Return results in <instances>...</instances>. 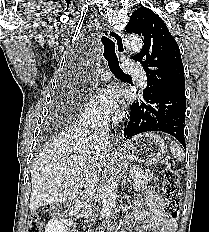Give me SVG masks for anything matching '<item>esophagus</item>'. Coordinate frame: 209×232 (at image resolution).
Listing matches in <instances>:
<instances>
[{
    "label": "esophagus",
    "mask_w": 209,
    "mask_h": 232,
    "mask_svg": "<svg viewBox=\"0 0 209 232\" xmlns=\"http://www.w3.org/2000/svg\"><path fill=\"white\" fill-rule=\"evenodd\" d=\"M109 37L115 42L117 51L120 55L125 54L126 49L124 45V38L120 32L115 30H109ZM111 137L115 142H118V130L115 126H113L111 130Z\"/></svg>",
    "instance_id": "1"
}]
</instances>
